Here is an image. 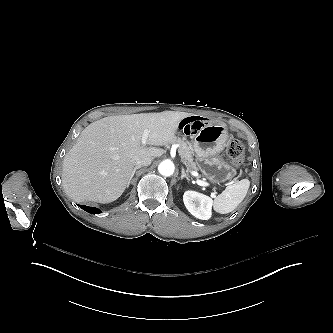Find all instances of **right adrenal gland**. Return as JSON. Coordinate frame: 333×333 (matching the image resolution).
Segmentation results:
<instances>
[{
  "label": "right adrenal gland",
  "mask_w": 333,
  "mask_h": 333,
  "mask_svg": "<svg viewBox=\"0 0 333 333\" xmlns=\"http://www.w3.org/2000/svg\"><path fill=\"white\" fill-rule=\"evenodd\" d=\"M140 168H141V166H136V167L134 168V170H133V172H132V175H131V177H130L128 183H127V187L129 186L130 181H131V179L133 178V176H134L136 170H138V169H140Z\"/></svg>",
  "instance_id": "1"
}]
</instances>
